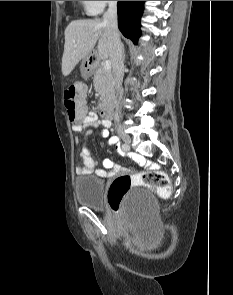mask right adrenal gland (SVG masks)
I'll use <instances>...</instances> for the list:
<instances>
[{"instance_id": "right-adrenal-gland-1", "label": "right adrenal gland", "mask_w": 233, "mask_h": 295, "mask_svg": "<svg viewBox=\"0 0 233 295\" xmlns=\"http://www.w3.org/2000/svg\"><path fill=\"white\" fill-rule=\"evenodd\" d=\"M122 51H123V58L125 59V47L122 45Z\"/></svg>"}]
</instances>
